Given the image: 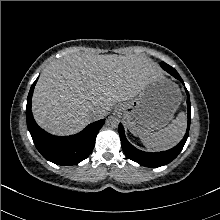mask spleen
<instances>
[{
	"label": "spleen",
	"instance_id": "1",
	"mask_svg": "<svg viewBox=\"0 0 220 220\" xmlns=\"http://www.w3.org/2000/svg\"><path fill=\"white\" fill-rule=\"evenodd\" d=\"M186 125V115L184 112H180L176 119L166 128L158 132L143 134L139 137L149 150H166L179 143L185 133Z\"/></svg>",
	"mask_w": 220,
	"mask_h": 220
}]
</instances>
